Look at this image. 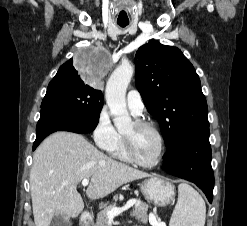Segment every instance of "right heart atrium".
<instances>
[{"label":"right heart atrium","mask_w":247,"mask_h":226,"mask_svg":"<svg viewBox=\"0 0 247 226\" xmlns=\"http://www.w3.org/2000/svg\"><path fill=\"white\" fill-rule=\"evenodd\" d=\"M116 137L117 131L111 122L108 109L103 106L97 116L93 139L100 149L108 150L114 144Z\"/></svg>","instance_id":"d8ad5b80"}]
</instances>
